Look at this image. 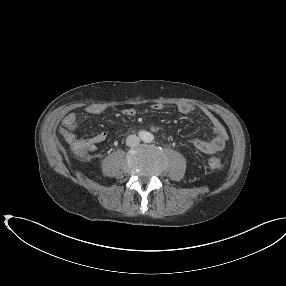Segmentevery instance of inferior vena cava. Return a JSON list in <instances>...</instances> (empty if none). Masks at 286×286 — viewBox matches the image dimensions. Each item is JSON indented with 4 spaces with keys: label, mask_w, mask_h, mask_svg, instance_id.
Wrapping results in <instances>:
<instances>
[{
    "label": "inferior vena cava",
    "mask_w": 286,
    "mask_h": 286,
    "mask_svg": "<svg viewBox=\"0 0 286 286\" xmlns=\"http://www.w3.org/2000/svg\"><path fill=\"white\" fill-rule=\"evenodd\" d=\"M140 143V139L136 135H129L126 139V144L129 147L137 146Z\"/></svg>",
    "instance_id": "obj_1"
}]
</instances>
